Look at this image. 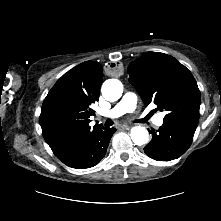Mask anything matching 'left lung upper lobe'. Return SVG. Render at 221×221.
I'll return each instance as SVG.
<instances>
[{
  "instance_id": "5c2ea615",
  "label": "left lung upper lobe",
  "mask_w": 221,
  "mask_h": 221,
  "mask_svg": "<svg viewBox=\"0 0 221 221\" xmlns=\"http://www.w3.org/2000/svg\"><path fill=\"white\" fill-rule=\"evenodd\" d=\"M127 72L145 105L166 111L163 121L197 120L200 91L191 72L172 56L147 52L130 63Z\"/></svg>"
}]
</instances>
